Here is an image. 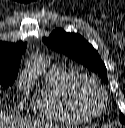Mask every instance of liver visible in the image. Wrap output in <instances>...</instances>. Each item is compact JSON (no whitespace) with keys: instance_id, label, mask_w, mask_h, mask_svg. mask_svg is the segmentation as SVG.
Instances as JSON below:
<instances>
[{"instance_id":"liver-1","label":"liver","mask_w":125,"mask_h":128,"mask_svg":"<svg viewBox=\"0 0 125 128\" xmlns=\"http://www.w3.org/2000/svg\"><path fill=\"white\" fill-rule=\"evenodd\" d=\"M0 106H1V99H0ZM8 124H11V119L8 117L5 113L0 112V128H6ZM34 127L37 128H52V125L49 124H41V123H36ZM58 128V127H55Z\"/></svg>"}]
</instances>
